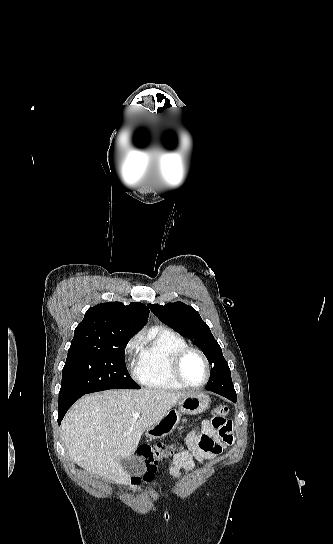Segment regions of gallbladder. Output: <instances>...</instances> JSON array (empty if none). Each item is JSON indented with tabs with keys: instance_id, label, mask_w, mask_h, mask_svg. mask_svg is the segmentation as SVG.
Here are the masks:
<instances>
[{
	"instance_id": "gallbladder-1",
	"label": "gallbladder",
	"mask_w": 333,
	"mask_h": 544,
	"mask_svg": "<svg viewBox=\"0 0 333 544\" xmlns=\"http://www.w3.org/2000/svg\"><path fill=\"white\" fill-rule=\"evenodd\" d=\"M121 464L131 476H141L145 471L144 464L133 455L121 458Z\"/></svg>"
}]
</instances>
